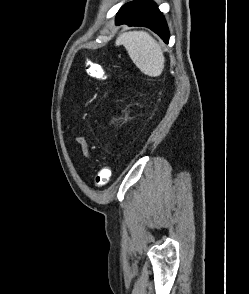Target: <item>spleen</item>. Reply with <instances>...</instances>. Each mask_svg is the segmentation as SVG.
<instances>
[{
	"label": "spleen",
	"instance_id": "spleen-1",
	"mask_svg": "<svg viewBox=\"0 0 249 294\" xmlns=\"http://www.w3.org/2000/svg\"><path fill=\"white\" fill-rule=\"evenodd\" d=\"M123 45L133 63L145 75L159 76L164 69L165 58L157 41L143 31L122 33L116 39V46Z\"/></svg>",
	"mask_w": 249,
	"mask_h": 294
}]
</instances>
